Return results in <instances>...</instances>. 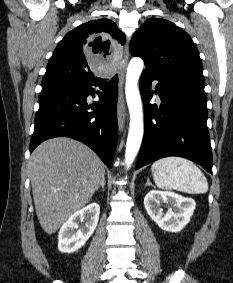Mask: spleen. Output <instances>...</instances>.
<instances>
[{
    "label": "spleen",
    "mask_w": 233,
    "mask_h": 283,
    "mask_svg": "<svg viewBox=\"0 0 233 283\" xmlns=\"http://www.w3.org/2000/svg\"><path fill=\"white\" fill-rule=\"evenodd\" d=\"M156 186L165 190H178L188 194H204L208 182L202 171L191 161L180 157H166L151 167Z\"/></svg>",
    "instance_id": "spleen-1"
}]
</instances>
